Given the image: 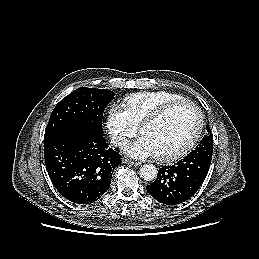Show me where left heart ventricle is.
<instances>
[{
    "label": "left heart ventricle",
    "instance_id": "left-heart-ventricle-1",
    "mask_svg": "<svg viewBox=\"0 0 259 259\" xmlns=\"http://www.w3.org/2000/svg\"><path fill=\"white\" fill-rule=\"evenodd\" d=\"M197 125L194 108L180 105L160 121L145 126L141 134L151 142L156 155H164L181 148L193 136Z\"/></svg>",
    "mask_w": 259,
    "mask_h": 259
}]
</instances>
